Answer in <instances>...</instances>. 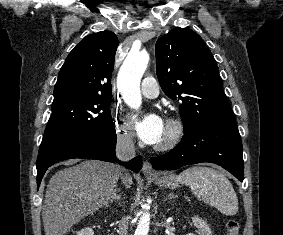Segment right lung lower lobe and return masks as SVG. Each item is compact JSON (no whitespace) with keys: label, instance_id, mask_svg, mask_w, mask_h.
<instances>
[{"label":"right lung lower lobe","instance_id":"1","mask_svg":"<svg viewBox=\"0 0 283 235\" xmlns=\"http://www.w3.org/2000/svg\"><path fill=\"white\" fill-rule=\"evenodd\" d=\"M115 129L99 133L93 137H78L63 142L51 150L39 154L37 158V185L51 165L71 158L97 159L113 162L115 158L116 146ZM126 167L135 172L142 168V159L137 157L126 163Z\"/></svg>","mask_w":283,"mask_h":235}]
</instances>
